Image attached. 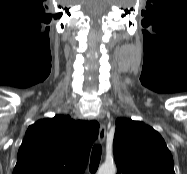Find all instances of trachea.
<instances>
[{"mask_svg": "<svg viewBox=\"0 0 187 174\" xmlns=\"http://www.w3.org/2000/svg\"><path fill=\"white\" fill-rule=\"evenodd\" d=\"M101 159V145H94L91 153L90 159V172L95 173L98 169L99 163Z\"/></svg>", "mask_w": 187, "mask_h": 174, "instance_id": "trachea-1", "label": "trachea"}]
</instances>
